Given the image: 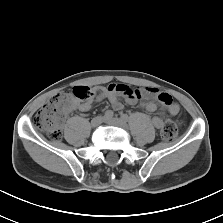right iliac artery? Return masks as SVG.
Instances as JSON below:
<instances>
[{
	"label": "right iliac artery",
	"mask_w": 223,
	"mask_h": 223,
	"mask_svg": "<svg viewBox=\"0 0 223 223\" xmlns=\"http://www.w3.org/2000/svg\"><path fill=\"white\" fill-rule=\"evenodd\" d=\"M113 111H111V110H107L105 113H104V118L105 119H110V118H112L113 117Z\"/></svg>",
	"instance_id": "82829eb1"
}]
</instances>
